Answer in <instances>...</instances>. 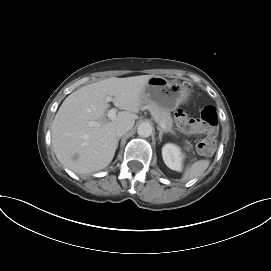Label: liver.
Segmentation results:
<instances>
[{"label": "liver", "mask_w": 271, "mask_h": 271, "mask_svg": "<svg viewBox=\"0 0 271 271\" xmlns=\"http://www.w3.org/2000/svg\"><path fill=\"white\" fill-rule=\"evenodd\" d=\"M153 75L111 77L81 87L66 97L51 127L52 146L62 166L77 174H89L107 167L117 149L116 126L122 120L137 119L142 91ZM123 111L109 122H101L109 104ZM89 121L99 122L89 126ZM77 158L74 159V156Z\"/></svg>", "instance_id": "6515ba94"}]
</instances>
